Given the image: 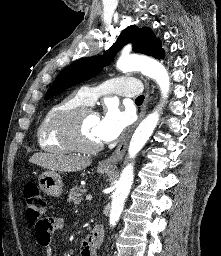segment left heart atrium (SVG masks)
<instances>
[{
	"mask_svg": "<svg viewBox=\"0 0 221 256\" xmlns=\"http://www.w3.org/2000/svg\"><path fill=\"white\" fill-rule=\"evenodd\" d=\"M131 120V114L128 111L121 110L115 103H109L96 127L99 141L111 142L117 139Z\"/></svg>",
	"mask_w": 221,
	"mask_h": 256,
	"instance_id": "obj_1",
	"label": "left heart atrium"
}]
</instances>
